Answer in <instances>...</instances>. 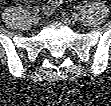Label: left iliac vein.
Segmentation results:
<instances>
[{
  "instance_id": "1",
  "label": "left iliac vein",
  "mask_w": 111,
  "mask_h": 106,
  "mask_svg": "<svg viewBox=\"0 0 111 106\" xmlns=\"http://www.w3.org/2000/svg\"><path fill=\"white\" fill-rule=\"evenodd\" d=\"M73 18L75 21H79L81 19L80 15L77 13L73 14Z\"/></svg>"
}]
</instances>
